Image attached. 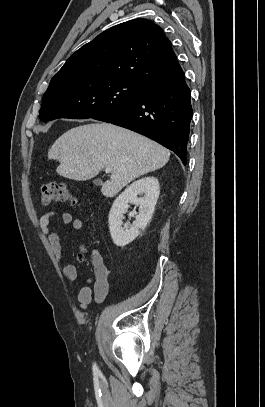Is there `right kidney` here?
Listing matches in <instances>:
<instances>
[{"label": "right kidney", "mask_w": 265, "mask_h": 407, "mask_svg": "<svg viewBox=\"0 0 265 407\" xmlns=\"http://www.w3.org/2000/svg\"><path fill=\"white\" fill-rule=\"evenodd\" d=\"M160 193L157 178L145 177L133 182L114 201L109 213V229L116 246L124 247L132 242L150 222ZM145 194L144 197L138 195ZM129 204L139 206V212L133 211L129 216H136L132 225H123L124 214Z\"/></svg>", "instance_id": "1"}]
</instances>
